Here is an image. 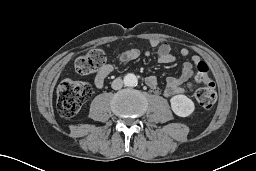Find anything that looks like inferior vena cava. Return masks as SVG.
Returning <instances> with one entry per match:
<instances>
[{"label":"inferior vena cava","mask_w":256,"mask_h":171,"mask_svg":"<svg viewBox=\"0 0 256 171\" xmlns=\"http://www.w3.org/2000/svg\"><path fill=\"white\" fill-rule=\"evenodd\" d=\"M123 86V80L121 78H116L112 84H111V87L114 89V90H119L121 89Z\"/></svg>","instance_id":"obj_1"}]
</instances>
